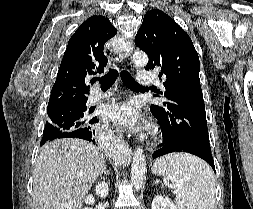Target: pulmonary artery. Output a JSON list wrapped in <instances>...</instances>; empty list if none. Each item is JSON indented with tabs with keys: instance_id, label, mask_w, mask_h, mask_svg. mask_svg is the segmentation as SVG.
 I'll return each mask as SVG.
<instances>
[{
	"instance_id": "pulmonary-artery-1",
	"label": "pulmonary artery",
	"mask_w": 253,
	"mask_h": 209,
	"mask_svg": "<svg viewBox=\"0 0 253 209\" xmlns=\"http://www.w3.org/2000/svg\"><path fill=\"white\" fill-rule=\"evenodd\" d=\"M137 81L139 84L143 85V84H150L152 83L153 79H152V75L149 71H141L138 73L137 75ZM112 95L111 92H95L93 94L90 95L88 102L93 104L96 103L100 100L109 98Z\"/></svg>"
}]
</instances>
